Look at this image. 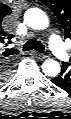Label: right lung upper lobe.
I'll return each instance as SVG.
<instances>
[{"mask_svg":"<svg viewBox=\"0 0 71 119\" xmlns=\"http://www.w3.org/2000/svg\"><path fill=\"white\" fill-rule=\"evenodd\" d=\"M11 13V9L6 6V5H3V8H2V17L6 16V15H9Z\"/></svg>","mask_w":71,"mask_h":119,"instance_id":"cb5924a9","label":"right lung upper lobe"}]
</instances>
